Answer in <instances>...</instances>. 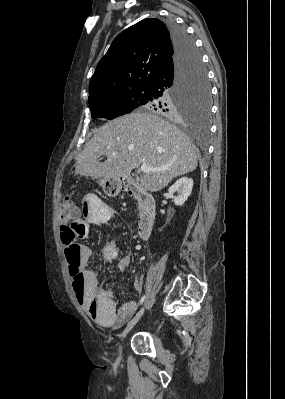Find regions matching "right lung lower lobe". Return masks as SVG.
Masks as SVG:
<instances>
[{"mask_svg": "<svg viewBox=\"0 0 285 399\" xmlns=\"http://www.w3.org/2000/svg\"><path fill=\"white\" fill-rule=\"evenodd\" d=\"M167 26L174 46V56L168 67L157 74L150 85L151 93L156 98L165 97L177 85L196 53L195 44L184 28L174 22H170ZM163 106L169 112L173 110L171 100H164Z\"/></svg>", "mask_w": 285, "mask_h": 399, "instance_id": "98d812e1", "label": "right lung lower lobe"}]
</instances>
